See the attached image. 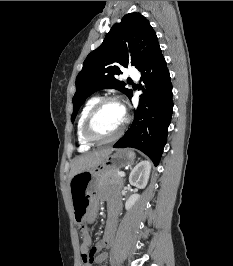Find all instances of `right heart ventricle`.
Listing matches in <instances>:
<instances>
[{"instance_id":"right-heart-ventricle-1","label":"right heart ventricle","mask_w":233,"mask_h":266,"mask_svg":"<svg viewBox=\"0 0 233 266\" xmlns=\"http://www.w3.org/2000/svg\"><path fill=\"white\" fill-rule=\"evenodd\" d=\"M99 97H92L90 98L84 105V107L82 108L78 121H77V141L79 144V149L81 151H86L89 150L92 147V144L88 143L82 134V128H83V124L85 121V118L88 114V112L90 111V109L92 108V106L99 100Z\"/></svg>"}]
</instances>
